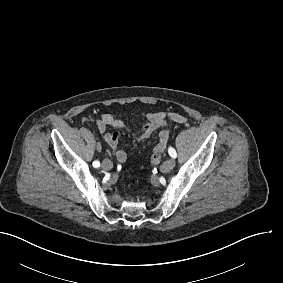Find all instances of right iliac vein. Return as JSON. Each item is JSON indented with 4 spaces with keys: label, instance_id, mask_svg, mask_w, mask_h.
<instances>
[{
    "label": "right iliac vein",
    "instance_id": "63e3f726",
    "mask_svg": "<svg viewBox=\"0 0 283 283\" xmlns=\"http://www.w3.org/2000/svg\"><path fill=\"white\" fill-rule=\"evenodd\" d=\"M101 167L104 170H110L113 167V164L109 159H104L101 164Z\"/></svg>",
    "mask_w": 283,
    "mask_h": 283
}]
</instances>
